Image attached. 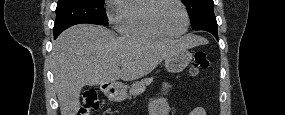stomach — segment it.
<instances>
[{
  "instance_id": "stomach-1",
  "label": "stomach",
  "mask_w": 285,
  "mask_h": 115,
  "mask_svg": "<svg viewBox=\"0 0 285 115\" xmlns=\"http://www.w3.org/2000/svg\"><path fill=\"white\" fill-rule=\"evenodd\" d=\"M192 54L187 50L179 51L165 58V68L168 72H182L190 63ZM127 86L108 85L103 91L106 97L114 102H121L128 97Z\"/></svg>"
}]
</instances>
